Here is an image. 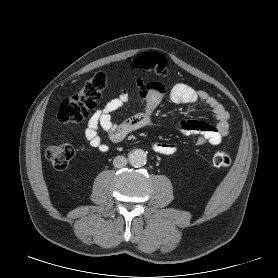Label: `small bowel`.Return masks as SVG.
<instances>
[{"label":"small bowel","mask_w":278,"mask_h":278,"mask_svg":"<svg viewBox=\"0 0 278 278\" xmlns=\"http://www.w3.org/2000/svg\"><path fill=\"white\" fill-rule=\"evenodd\" d=\"M135 86L139 97V103L143 104V110L116 123L112 114L122 108L129 100L126 90L108 101L102 108L93 112L87 121L84 136L88 144L100 152H107L106 144L99 130L102 129L108 139L113 143L121 142L131 132L146 127L151 122L156 108L164 98L170 99L176 104L205 103L216 118V124L212 125L204 121L184 120L177 124V129L184 135H196L198 145H220L224 137L229 134L230 114L223 104L204 90H196L185 83H176L167 88L160 82H145L141 78L136 79ZM152 149L162 155H173L178 148L175 144L166 142L152 143Z\"/></svg>","instance_id":"small-bowel-1"}]
</instances>
